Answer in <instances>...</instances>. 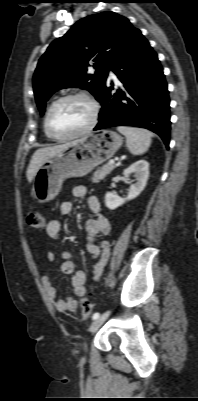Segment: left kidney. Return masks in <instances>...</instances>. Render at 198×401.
<instances>
[{
    "label": "left kidney",
    "mask_w": 198,
    "mask_h": 401,
    "mask_svg": "<svg viewBox=\"0 0 198 401\" xmlns=\"http://www.w3.org/2000/svg\"><path fill=\"white\" fill-rule=\"evenodd\" d=\"M134 173L137 182L132 184L126 198H121L113 192L105 195V205L108 209L114 210L123 205L126 201L136 198L145 188L149 176V164L146 160H139L124 170L123 174L128 179Z\"/></svg>",
    "instance_id": "1"
}]
</instances>
